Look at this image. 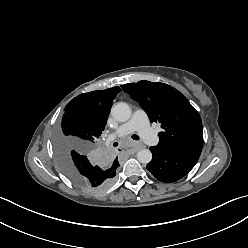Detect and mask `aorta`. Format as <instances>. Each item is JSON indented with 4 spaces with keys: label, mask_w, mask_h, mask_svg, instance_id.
I'll return each instance as SVG.
<instances>
[{
    "label": "aorta",
    "mask_w": 248,
    "mask_h": 248,
    "mask_svg": "<svg viewBox=\"0 0 248 248\" xmlns=\"http://www.w3.org/2000/svg\"><path fill=\"white\" fill-rule=\"evenodd\" d=\"M111 115L119 122H126L131 117V108L125 102H118L112 107ZM137 159L142 164H148L152 160V153L148 149H142L137 153Z\"/></svg>",
    "instance_id": "obj_1"
}]
</instances>
